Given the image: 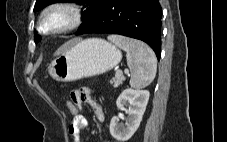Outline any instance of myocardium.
<instances>
[{
  "mask_svg": "<svg viewBox=\"0 0 227 142\" xmlns=\"http://www.w3.org/2000/svg\"><path fill=\"white\" fill-rule=\"evenodd\" d=\"M55 12H62L67 16V22L59 27L54 29H46L45 22L49 15ZM82 8L75 2L61 1L55 2L47 5L42 9L39 14L36 30L38 33L44 36H55L77 28L82 22Z\"/></svg>",
  "mask_w": 227,
  "mask_h": 142,
  "instance_id": "myocardium-1",
  "label": "myocardium"
}]
</instances>
